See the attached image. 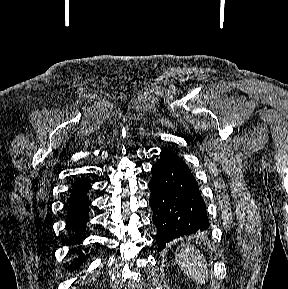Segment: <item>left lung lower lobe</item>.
<instances>
[{
    "label": "left lung lower lobe",
    "instance_id": "obj_1",
    "mask_svg": "<svg viewBox=\"0 0 288 289\" xmlns=\"http://www.w3.org/2000/svg\"><path fill=\"white\" fill-rule=\"evenodd\" d=\"M148 187L159 251L175 238L208 228L206 206L198 183L186 163L172 150L163 149L160 153L152 167Z\"/></svg>",
    "mask_w": 288,
    "mask_h": 289
}]
</instances>
